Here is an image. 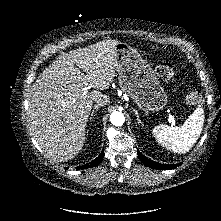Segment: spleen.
Here are the masks:
<instances>
[{
	"label": "spleen",
	"instance_id": "spleen-1",
	"mask_svg": "<svg viewBox=\"0 0 221 221\" xmlns=\"http://www.w3.org/2000/svg\"><path fill=\"white\" fill-rule=\"evenodd\" d=\"M204 111L198 107L181 127L158 125L153 128L152 134L162 146L176 153H186L198 140L203 124Z\"/></svg>",
	"mask_w": 221,
	"mask_h": 221
}]
</instances>
